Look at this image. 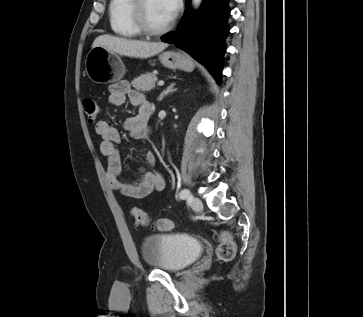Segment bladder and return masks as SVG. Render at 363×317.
<instances>
[{
	"instance_id": "1",
	"label": "bladder",
	"mask_w": 363,
	"mask_h": 317,
	"mask_svg": "<svg viewBox=\"0 0 363 317\" xmlns=\"http://www.w3.org/2000/svg\"><path fill=\"white\" fill-rule=\"evenodd\" d=\"M201 243L180 233L153 234L140 245L144 263L162 272L174 274L187 268L202 254Z\"/></svg>"
}]
</instances>
